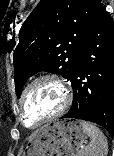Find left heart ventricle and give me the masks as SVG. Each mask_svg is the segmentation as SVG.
Instances as JSON below:
<instances>
[{
  "instance_id": "1",
  "label": "left heart ventricle",
  "mask_w": 114,
  "mask_h": 156,
  "mask_svg": "<svg viewBox=\"0 0 114 156\" xmlns=\"http://www.w3.org/2000/svg\"><path fill=\"white\" fill-rule=\"evenodd\" d=\"M62 95L57 85L50 81L36 84L23 102L24 117L28 125L53 114L61 105Z\"/></svg>"
}]
</instances>
